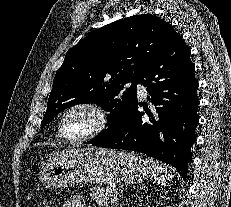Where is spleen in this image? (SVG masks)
I'll use <instances>...</instances> for the list:
<instances>
[{
  "instance_id": "spleen-1",
  "label": "spleen",
  "mask_w": 231,
  "mask_h": 207,
  "mask_svg": "<svg viewBox=\"0 0 231 207\" xmlns=\"http://www.w3.org/2000/svg\"><path fill=\"white\" fill-rule=\"evenodd\" d=\"M146 161L150 166L151 178L158 185L164 186L174 177V169L170 165H166L152 159H147Z\"/></svg>"
}]
</instances>
